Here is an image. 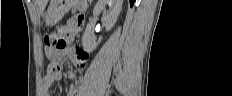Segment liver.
Returning <instances> with one entry per match:
<instances>
[{
	"label": "liver",
	"mask_w": 232,
	"mask_h": 96,
	"mask_svg": "<svg viewBox=\"0 0 232 96\" xmlns=\"http://www.w3.org/2000/svg\"><path fill=\"white\" fill-rule=\"evenodd\" d=\"M38 3H39V10L42 13L46 7L47 0H40Z\"/></svg>",
	"instance_id": "liver-1"
}]
</instances>
